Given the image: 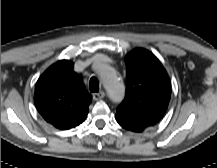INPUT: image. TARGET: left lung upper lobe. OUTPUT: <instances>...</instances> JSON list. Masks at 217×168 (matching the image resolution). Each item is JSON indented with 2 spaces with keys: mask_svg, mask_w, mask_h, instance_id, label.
Returning a JSON list of instances; mask_svg holds the SVG:
<instances>
[{
  "mask_svg": "<svg viewBox=\"0 0 217 168\" xmlns=\"http://www.w3.org/2000/svg\"><path fill=\"white\" fill-rule=\"evenodd\" d=\"M126 94L116 120L136 132L159 123L169 105L171 84L161 62L150 51L134 49L125 56Z\"/></svg>",
  "mask_w": 217,
  "mask_h": 168,
  "instance_id": "obj_1",
  "label": "left lung upper lobe"
}]
</instances>
